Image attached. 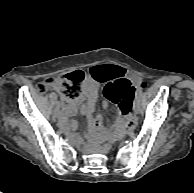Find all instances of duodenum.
I'll return each mask as SVG.
<instances>
[{
    "label": "duodenum",
    "mask_w": 194,
    "mask_h": 193,
    "mask_svg": "<svg viewBox=\"0 0 194 193\" xmlns=\"http://www.w3.org/2000/svg\"><path fill=\"white\" fill-rule=\"evenodd\" d=\"M98 139H99V138H98L97 136H92L91 141H92V142H96V141H98Z\"/></svg>",
    "instance_id": "410a0bca"
}]
</instances>
